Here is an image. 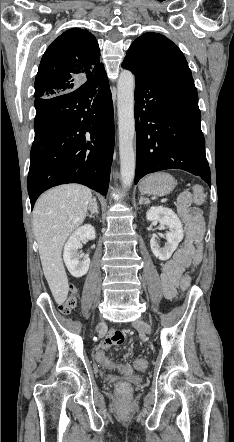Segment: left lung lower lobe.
I'll return each mask as SVG.
<instances>
[{"label": "left lung lower lobe", "instance_id": "1", "mask_svg": "<svg viewBox=\"0 0 234 442\" xmlns=\"http://www.w3.org/2000/svg\"><path fill=\"white\" fill-rule=\"evenodd\" d=\"M123 68L129 69L122 64ZM133 72V71H132ZM135 74V184L148 173L182 169L211 186L192 75Z\"/></svg>", "mask_w": 234, "mask_h": 442}]
</instances>
